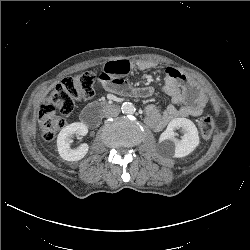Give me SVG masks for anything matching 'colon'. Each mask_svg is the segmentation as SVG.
Masks as SVG:
<instances>
[{"label": "colon", "instance_id": "colon-1", "mask_svg": "<svg viewBox=\"0 0 250 250\" xmlns=\"http://www.w3.org/2000/svg\"><path fill=\"white\" fill-rule=\"evenodd\" d=\"M95 77L91 72L64 78L50 92L40 106L38 122L42 137L52 141L65 124V115L71 113L77 103L94 96ZM216 122L212 117H204L199 124V131L204 139H209Z\"/></svg>", "mask_w": 250, "mask_h": 250}]
</instances>
